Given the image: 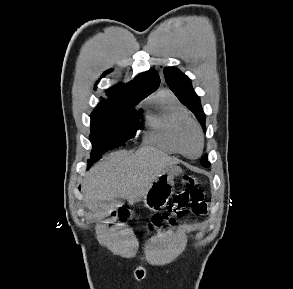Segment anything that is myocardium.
<instances>
[{
    "instance_id": "myocardium-1",
    "label": "myocardium",
    "mask_w": 293,
    "mask_h": 289,
    "mask_svg": "<svg viewBox=\"0 0 293 289\" xmlns=\"http://www.w3.org/2000/svg\"><path fill=\"white\" fill-rule=\"evenodd\" d=\"M188 128H192L197 135L199 147L195 155L189 154L184 146L183 136ZM174 140L177 145L178 152L187 158H198L202 153L204 147L203 134L200 126L191 118L184 119L178 124L174 134Z\"/></svg>"
}]
</instances>
